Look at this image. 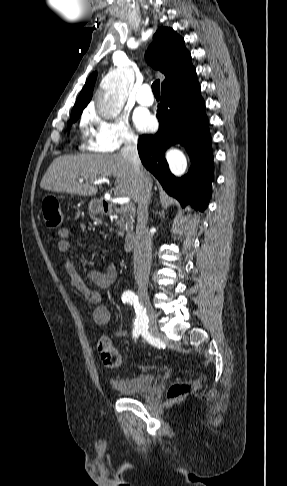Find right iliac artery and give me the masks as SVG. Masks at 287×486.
I'll return each instance as SVG.
<instances>
[{
  "mask_svg": "<svg viewBox=\"0 0 287 486\" xmlns=\"http://www.w3.org/2000/svg\"><path fill=\"white\" fill-rule=\"evenodd\" d=\"M122 301L124 303L133 305L136 312L133 337L137 338L141 334L144 339L150 340L151 336L148 332V318L146 315V309H144L140 304L137 295L133 291L127 290L122 295Z\"/></svg>",
  "mask_w": 287,
  "mask_h": 486,
  "instance_id": "right-iliac-artery-1",
  "label": "right iliac artery"
}]
</instances>
